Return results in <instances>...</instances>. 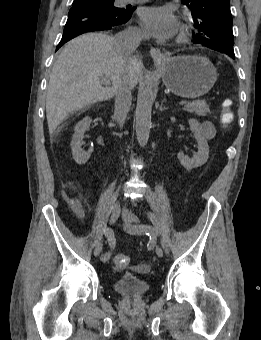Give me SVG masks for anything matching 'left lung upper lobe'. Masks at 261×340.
I'll list each match as a JSON object with an SVG mask.
<instances>
[{
	"instance_id": "obj_1",
	"label": "left lung upper lobe",
	"mask_w": 261,
	"mask_h": 340,
	"mask_svg": "<svg viewBox=\"0 0 261 340\" xmlns=\"http://www.w3.org/2000/svg\"><path fill=\"white\" fill-rule=\"evenodd\" d=\"M196 31L193 41L216 51L232 52L234 37L229 0H190Z\"/></svg>"
}]
</instances>
